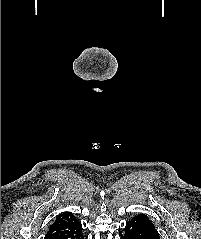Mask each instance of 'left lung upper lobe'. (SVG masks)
I'll use <instances>...</instances> for the list:
<instances>
[{"label":"left lung upper lobe","mask_w":201,"mask_h":239,"mask_svg":"<svg viewBox=\"0 0 201 239\" xmlns=\"http://www.w3.org/2000/svg\"><path fill=\"white\" fill-rule=\"evenodd\" d=\"M134 221H140L144 224H146L157 236H159L157 230L155 229L154 225L152 222L149 220L148 216L142 214V215H137L133 218Z\"/></svg>","instance_id":"5c2ea615"}]
</instances>
